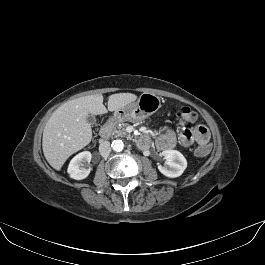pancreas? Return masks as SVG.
Instances as JSON below:
<instances>
[{
    "mask_svg": "<svg viewBox=\"0 0 265 265\" xmlns=\"http://www.w3.org/2000/svg\"><path fill=\"white\" fill-rule=\"evenodd\" d=\"M127 126V123H117L112 127V135L115 137H126L127 133L125 130V127Z\"/></svg>",
    "mask_w": 265,
    "mask_h": 265,
    "instance_id": "cf45deb5",
    "label": "pancreas"
}]
</instances>
